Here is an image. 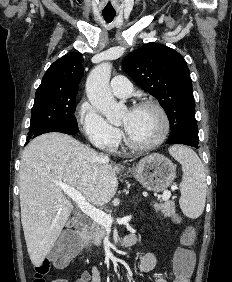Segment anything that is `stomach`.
<instances>
[{
	"instance_id": "obj_1",
	"label": "stomach",
	"mask_w": 232,
	"mask_h": 282,
	"mask_svg": "<svg viewBox=\"0 0 232 282\" xmlns=\"http://www.w3.org/2000/svg\"><path fill=\"white\" fill-rule=\"evenodd\" d=\"M130 172L147 190H166L176 177V166L162 154H150L142 158Z\"/></svg>"
}]
</instances>
